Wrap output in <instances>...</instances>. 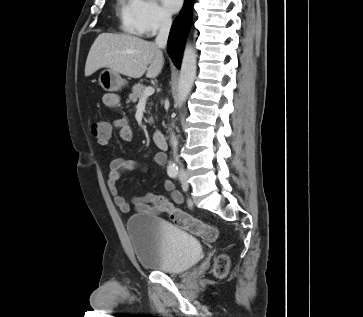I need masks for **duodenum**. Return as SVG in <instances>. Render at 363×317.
I'll return each mask as SVG.
<instances>
[{"label":"duodenum","mask_w":363,"mask_h":317,"mask_svg":"<svg viewBox=\"0 0 363 317\" xmlns=\"http://www.w3.org/2000/svg\"><path fill=\"white\" fill-rule=\"evenodd\" d=\"M153 142L154 144L161 149L167 148V141L164 134L161 131H155L153 133Z\"/></svg>","instance_id":"duodenum-1"}]
</instances>
